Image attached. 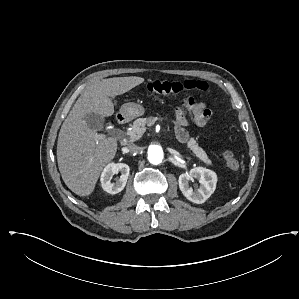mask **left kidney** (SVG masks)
<instances>
[{
  "label": "left kidney",
  "instance_id": "1",
  "mask_svg": "<svg viewBox=\"0 0 299 299\" xmlns=\"http://www.w3.org/2000/svg\"><path fill=\"white\" fill-rule=\"evenodd\" d=\"M194 178L200 183V187L197 190H193L189 186V181ZM178 182L181 192L189 201L202 204L214 192L217 183V175L212 170L196 167L191 169L190 172L181 174Z\"/></svg>",
  "mask_w": 299,
  "mask_h": 299
}]
</instances>
